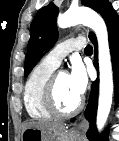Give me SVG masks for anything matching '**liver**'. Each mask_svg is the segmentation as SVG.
<instances>
[{
    "label": "liver",
    "instance_id": "liver-1",
    "mask_svg": "<svg viewBox=\"0 0 119 141\" xmlns=\"http://www.w3.org/2000/svg\"><path fill=\"white\" fill-rule=\"evenodd\" d=\"M39 128L42 130H47V131H61L65 129V126L62 123L59 122H50V121H29L24 123L23 125V131L27 128Z\"/></svg>",
    "mask_w": 119,
    "mask_h": 141
}]
</instances>
